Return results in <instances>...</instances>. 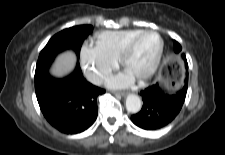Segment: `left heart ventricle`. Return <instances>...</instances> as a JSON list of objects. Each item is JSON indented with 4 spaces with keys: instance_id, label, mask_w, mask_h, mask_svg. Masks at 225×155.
Here are the masks:
<instances>
[{
    "instance_id": "1",
    "label": "left heart ventricle",
    "mask_w": 225,
    "mask_h": 155,
    "mask_svg": "<svg viewBox=\"0 0 225 155\" xmlns=\"http://www.w3.org/2000/svg\"><path fill=\"white\" fill-rule=\"evenodd\" d=\"M160 47V40L155 34L143 36L125 64V70L133 77L139 78L152 66Z\"/></svg>"
}]
</instances>
